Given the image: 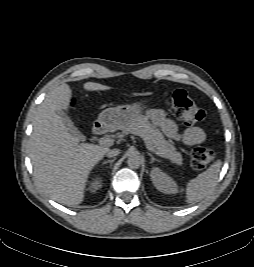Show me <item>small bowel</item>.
<instances>
[{"label": "small bowel", "mask_w": 254, "mask_h": 267, "mask_svg": "<svg viewBox=\"0 0 254 267\" xmlns=\"http://www.w3.org/2000/svg\"><path fill=\"white\" fill-rule=\"evenodd\" d=\"M147 116L169 139L176 143L185 146H194L203 143L206 139L205 132L199 127H190L180 132L176 123L167 118L160 109L149 110Z\"/></svg>", "instance_id": "obj_1"}]
</instances>
